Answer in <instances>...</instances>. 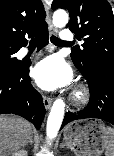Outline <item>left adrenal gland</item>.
<instances>
[{
  "label": "left adrenal gland",
  "instance_id": "1",
  "mask_svg": "<svg viewBox=\"0 0 114 156\" xmlns=\"http://www.w3.org/2000/svg\"><path fill=\"white\" fill-rule=\"evenodd\" d=\"M65 147V142L63 141L60 145V148H64Z\"/></svg>",
  "mask_w": 114,
  "mask_h": 156
}]
</instances>
